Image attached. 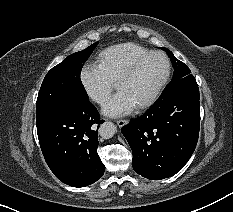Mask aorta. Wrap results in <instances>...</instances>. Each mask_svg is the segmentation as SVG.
<instances>
[{"label": "aorta", "instance_id": "obj_1", "mask_svg": "<svg viewBox=\"0 0 233 212\" xmlns=\"http://www.w3.org/2000/svg\"><path fill=\"white\" fill-rule=\"evenodd\" d=\"M116 126L112 122H104L99 128V134L104 139H109L114 136Z\"/></svg>", "mask_w": 233, "mask_h": 212}]
</instances>
